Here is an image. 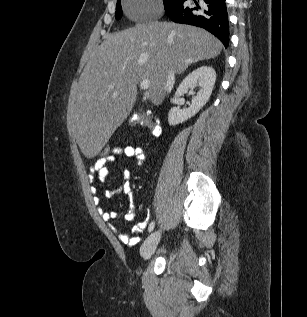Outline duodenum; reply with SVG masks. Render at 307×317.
<instances>
[{"instance_id":"duodenum-1","label":"duodenum","mask_w":307,"mask_h":317,"mask_svg":"<svg viewBox=\"0 0 307 317\" xmlns=\"http://www.w3.org/2000/svg\"><path fill=\"white\" fill-rule=\"evenodd\" d=\"M143 119L144 121H153L152 117L148 115L147 113H143ZM151 128H147V130L150 132Z\"/></svg>"}]
</instances>
